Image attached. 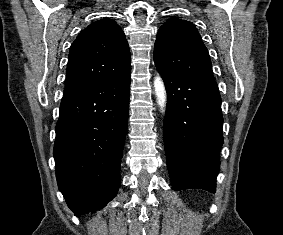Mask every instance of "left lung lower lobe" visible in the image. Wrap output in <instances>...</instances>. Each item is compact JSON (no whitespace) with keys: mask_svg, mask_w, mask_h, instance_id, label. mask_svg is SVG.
Here are the masks:
<instances>
[{"mask_svg":"<svg viewBox=\"0 0 283 235\" xmlns=\"http://www.w3.org/2000/svg\"><path fill=\"white\" fill-rule=\"evenodd\" d=\"M157 70L167 91L163 138L172 189L215 192L223 144L218 86L215 81Z\"/></svg>","mask_w":283,"mask_h":235,"instance_id":"0a47b994","label":"left lung lower lobe"}]
</instances>
